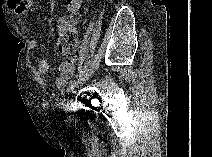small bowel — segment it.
I'll return each instance as SVG.
<instances>
[{
  "instance_id": "small-bowel-1",
  "label": "small bowel",
  "mask_w": 212,
  "mask_h": 157,
  "mask_svg": "<svg viewBox=\"0 0 212 157\" xmlns=\"http://www.w3.org/2000/svg\"><path fill=\"white\" fill-rule=\"evenodd\" d=\"M7 6L9 9L14 11L17 14H23L26 12V4L22 0H8ZM80 7L79 0H67V9L69 11H75ZM70 25L69 19L66 16H61L57 20V31L60 34ZM39 45L38 40L32 39L29 42L31 49H36ZM49 62L47 59H41L38 62L37 72L39 75H46L49 72ZM75 70V66L72 62H62L58 67V76L55 79V87L62 89L66 86L67 82L72 77Z\"/></svg>"
}]
</instances>
